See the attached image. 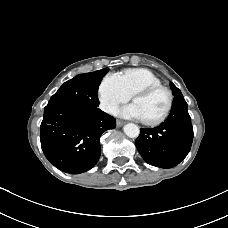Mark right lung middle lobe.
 Masks as SVG:
<instances>
[{
    "instance_id": "dd1d6c3e",
    "label": "right lung middle lobe",
    "mask_w": 228,
    "mask_h": 228,
    "mask_svg": "<svg viewBox=\"0 0 228 228\" xmlns=\"http://www.w3.org/2000/svg\"><path fill=\"white\" fill-rule=\"evenodd\" d=\"M108 68L75 76L65 82L51 97L48 104H62L76 109H92L99 106L98 87Z\"/></svg>"
}]
</instances>
